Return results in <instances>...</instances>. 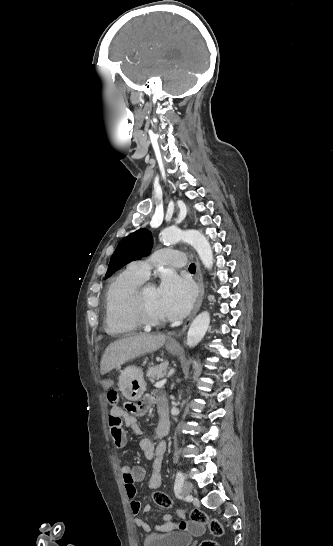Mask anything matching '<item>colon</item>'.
<instances>
[{"mask_svg": "<svg viewBox=\"0 0 333 546\" xmlns=\"http://www.w3.org/2000/svg\"><path fill=\"white\" fill-rule=\"evenodd\" d=\"M108 401L111 405H115L118 402V393L116 391H109L107 394ZM131 407V405H128ZM153 501L156 506L162 509H170L173 507V501L171 497L161 491L154 492L152 495ZM190 519L195 524H208L211 532L215 536H219L223 533V527L216 518H211L208 514L200 508H194L190 511ZM202 546H217L212 541H206Z\"/></svg>", "mask_w": 333, "mask_h": 546, "instance_id": "5ec220e1", "label": "colon"}]
</instances>
